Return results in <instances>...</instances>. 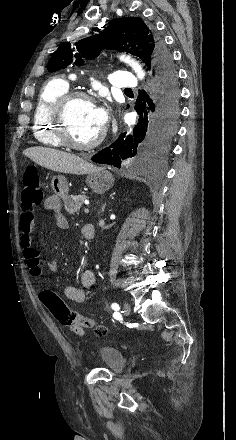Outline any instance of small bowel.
Masks as SVG:
<instances>
[{
    "label": "small bowel",
    "instance_id": "1",
    "mask_svg": "<svg viewBox=\"0 0 236 440\" xmlns=\"http://www.w3.org/2000/svg\"><path fill=\"white\" fill-rule=\"evenodd\" d=\"M44 209L49 210L53 214L54 222L57 227H67V220L62 213V200L58 195L49 196L44 203ZM20 228L22 232L20 236V246L23 251V256L27 261V267L32 276L39 277L42 274V268L40 265L39 252L32 246V233L34 231V214L32 211L22 214ZM82 233L84 235L83 230ZM50 269L56 271L57 267L55 264H50ZM94 282V273L91 270H84L81 274L82 288L68 285L64 288V295L71 301L84 303L86 301V290L90 289L94 285ZM39 299L44 307L47 308L40 294ZM71 330L74 333H82L85 327L82 324H74Z\"/></svg>",
    "mask_w": 236,
    "mask_h": 440
}]
</instances>
